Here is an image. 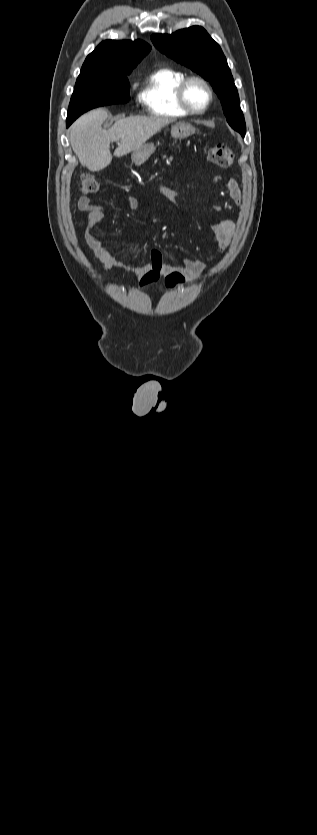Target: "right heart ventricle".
<instances>
[{"mask_svg":"<svg viewBox=\"0 0 317 835\" xmlns=\"http://www.w3.org/2000/svg\"><path fill=\"white\" fill-rule=\"evenodd\" d=\"M186 74L170 66H160L143 80L139 99L147 112L158 117H183L188 113L180 106L177 90Z\"/></svg>","mask_w":317,"mask_h":835,"instance_id":"1","label":"right heart ventricle"}]
</instances>
